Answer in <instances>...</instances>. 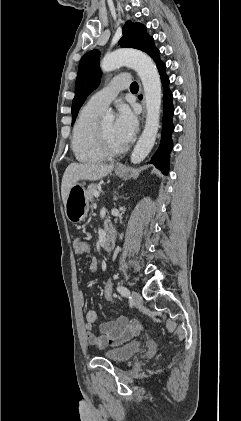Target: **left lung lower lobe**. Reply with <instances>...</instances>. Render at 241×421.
<instances>
[{
    "instance_id": "left-lung-lower-lobe-1",
    "label": "left lung lower lobe",
    "mask_w": 241,
    "mask_h": 421,
    "mask_svg": "<svg viewBox=\"0 0 241 421\" xmlns=\"http://www.w3.org/2000/svg\"><path fill=\"white\" fill-rule=\"evenodd\" d=\"M143 51L149 54L156 62L161 76L164 95L161 143L158 150L153 155L151 162L164 174H167L169 167V154L173 145L171 140V133L174 129L172 124V116L174 114V108L172 105V93L168 88L169 78L165 74L166 66L159 58L160 52L155 47L153 39L149 41Z\"/></svg>"
}]
</instances>
